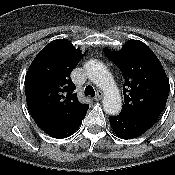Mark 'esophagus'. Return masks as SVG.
Segmentation results:
<instances>
[{"mask_svg": "<svg viewBox=\"0 0 175 175\" xmlns=\"http://www.w3.org/2000/svg\"><path fill=\"white\" fill-rule=\"evenodd\" d=\"M102 97H103V92H102V91H97V94H96V96L94 97V100H95V101H99V100L102 99Z\"/></svg>", "mask_w": 175, "mask_h": 175, "instance_id": "obj_1", "label": "esophagus"}]
</instances>
